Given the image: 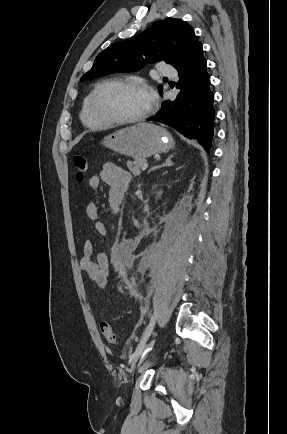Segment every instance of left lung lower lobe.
<instances>
[{
  "mask_svg": "<svg viewBox=\"0 0 287 434\" xmlns=\"http://www.w3.org/2000/svg\"><path fill=\"white\" fill-rule=\"evenodd\" d=\"M177 70V88L181 92L175 100L164 101L162 109L148 120L173 127L209 151L214 137L215 110L203 53Z\"/></svg>",
  "mask_w": 287,
  "mask_h": 434,
  "instance_id": "1",
  "label": "left lung lower lobe"
}]
</instances>
